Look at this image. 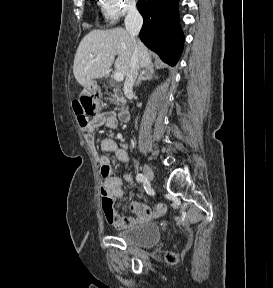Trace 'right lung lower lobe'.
<instances>
[{"instance_id":"1","label":"right lung lower lobe","mask_w":273,"mask_h":288,"mask_svg":"<svg viewBox=\"0 0 273 288\" xmlns=\"http://www.w3.org/2000/svg\"><path fill=\"white\" fill-rule=\"evenodd\" d=\"M177 3L178 0H139L137 3L144 21L140 39L171 66L177 63L184 41Z\"/></svg>"}]
</instances>
